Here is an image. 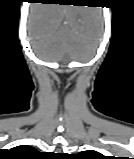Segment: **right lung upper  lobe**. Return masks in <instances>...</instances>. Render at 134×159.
Segmentation results:
<instances>
[{
    "instance_id": "obj_1",
    "label": "right lung upper lobe",
    "mask_w": 134,
    "mask_h": 159,
    "mask_svg": "<svg viewBox=\"0 0 134 159\" xmlns=\"http://www.w3.org/2000/svg\"><path fill=\"white\" fill-rule=\"evenodd\" d=\"M18 151L23 152V153H31V152H35L36 150L30 146H19L16 148Z\"/></svg>"
}]
</instances>
